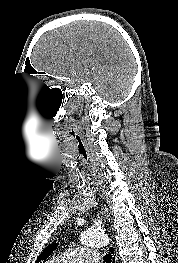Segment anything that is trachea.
I'll use <instances>...</instances> for the list:
<instances>
[{
    "label": "trachea",
    "mask_w": 178,
    "mask_h": 263,
    "mask_svg": "<svg viewBox=\"0 0 178 263\" xmlns=\"http://www.w3.org/2000/svg\"><path fill=\"white\" fill-rule=\"evenodd\" d=\"M112 256L110 255V254H106L105 256H104V261L106 262V263H111L112 262Z\"/></svg>",
    "instance_id": "3493384b"
}]
</instances>
